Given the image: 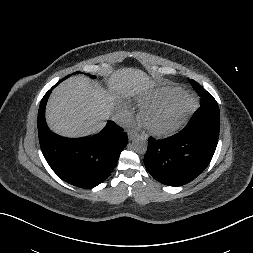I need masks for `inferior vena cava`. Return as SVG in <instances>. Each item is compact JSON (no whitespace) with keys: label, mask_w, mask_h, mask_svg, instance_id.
<instances>
[{"label":"inferior vena cava","mask_w":253,"mask_h":253,"mask_svg":"<svg viewBox=\"0 0 253 253\" xmlns=\"http://www.w3.org/2000/svg\"><path fill=\"white\" fill-rule=\"evenodd\" d=\"M112 120L117 122L118 124H124L126 119L124 118V116L121 113H116L112 116Z\"/></svg>","instance_id":"1"}]
</instances>
